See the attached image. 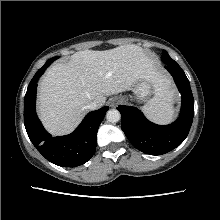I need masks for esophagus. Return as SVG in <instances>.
Wrapping results in <instances>:
<instances>
[{
    "label": "esophagus",
    "instance_id": "esophagus-1",
    "mask_svg": "<svg viewBox=\"0 0 220 220\" xmlns=\"http://www.w3.org/2000/svg\"><path fill=\"white\" fill-rule=\"evenodd\" d=\"M118 102H119V99H113L109 103L112 107H114L116 104H118Z\"/></svg>",
    "mask_w": 220,
    "mask_h": 220
}]
</instances>
